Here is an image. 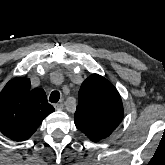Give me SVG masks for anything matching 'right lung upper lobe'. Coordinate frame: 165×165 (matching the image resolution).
Instances as JSON below:
<instances>
[{
    "mask_svg": "<svg viewBox=\"0 0 165 165\" xmlns=\"http://www.w3.org/2000/svg\"><path fill=\"white\" fill-rule=\"evenodd\" d=\"M53 111L43 89L30 90V79L16 77L0 93V131L14 141L27 140Z\"/></svg>",
    "mask_w": 165,
    "mask_h": 165,
    "instance_id": "obj_1",
    "label": "right lung upper lobe"
}]
</instances>
